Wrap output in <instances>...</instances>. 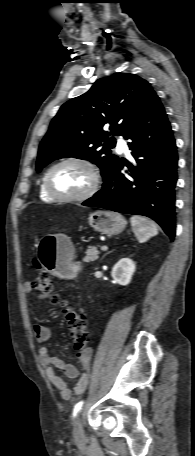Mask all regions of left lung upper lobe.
<instances>
[{
	"mask_svg": "<svg viewBox=\"0 0 195 456\" xmlns=\"http://www.w3.org/2000/svg\"><path fill=\"white\" fill-rule=\"evenodd\" d=\"M157 95L134 74L101 78L85 94L60 108L39 146L36 170L67 157L89 160L105 179L119 161L111 154L114 135L125 137Z\"/></svg>",
	"mask_w": 195,
	"mask_h": 456,
	"instance_id": "left-lung-upper-lobe-1",
	"label": "left lung upper lobe"
}]
</instances>
